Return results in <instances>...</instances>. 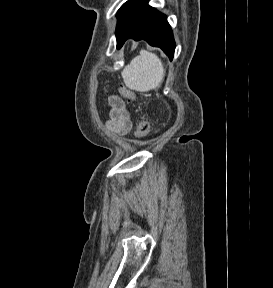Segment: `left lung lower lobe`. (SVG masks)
Listing matches in <instances>:
<instances>
[{"mask_svg": "<svg viewBox=\"0 0 273 288\" xmlns=\"http://www.w3.org/2000/svg\"><path fill=\"white\" fill-rule=\"evenodd\" d=\"M117 48L132 38L145 40L150 45L160 47L173 59L175 42L167 17L148 5V0H131L116 29Z\"/></svg>", "mask_w": 273, "mask_h": 288, "instance_id": "1", "label": "left lung lower lobe"}]
</instances>
